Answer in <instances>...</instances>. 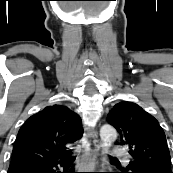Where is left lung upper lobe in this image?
<instances>
[{
	"mask_svg": "<svg viewBox=\"0 0 173 173\" xmlns=\"http://www.w3.org/2000/svg\"><path fill=\"white\" fill-rule=\"evenodd\" d=\"M107 121L120 133L121 145H127L132 156L123 172L173 173L165 133L152 115L124 101L113 107Z\"/></svg>",
	"mask_w": 173,
	"mask_h": 173,
	"instance_id": "left-lung-upper-lobe-1",
	"label": "left lung upper lobe"
}]
</instances>
